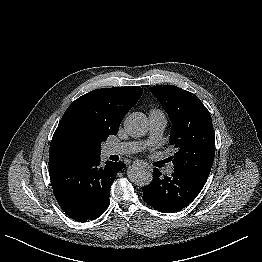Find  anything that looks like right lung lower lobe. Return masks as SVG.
Wrapping results in <instances>:
<instances>
[{"instance_id":"98d812e1","label":"right lung lower lobe","mask_w":262,"mask_h":262,"mask_svg":"<svg viewBox=\"0 0 262 262\" xmlns=\"http://www.w3.org/2000/svg\"><path fill=\"white\" fill-rule=\"evenodd\" d=\"M99 156L49 162L54 195L60 207L78 222L95 220L109 207L110 187L123 162L107 161Z\"/></svg>"}]
</instances>
